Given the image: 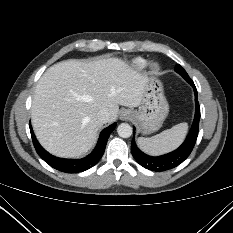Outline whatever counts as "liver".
I'll list each match as a JSON object with an SVG mask.
<instances>
[{
    "label": "liver",
    "mask_w": 233,
    "mask_h": 233,
    "mask_svg": "<svg viewBox=\"0 0 233 233\" xmlns=\"http://www.w3.org/2000/svg\"><path fill=\"white\" fill-rule=\"evenodd\" d=\"M148 82L118 58L66 60L51 66L36 85L31 121L40 144L51 154L79 158L94 146L102 127L97 113L118 117L119 105H140Z\"/></svg>",
    "instance_id": "obj_1"
}]
</instances>
